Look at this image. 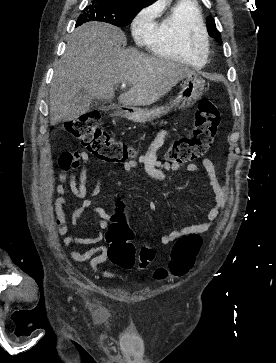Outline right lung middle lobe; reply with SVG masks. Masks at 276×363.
Returning a JSON list of instances; mask_svg holds the SVG:
<instances>
[{
	"label": "right lung middle lobe",
	"mask_w": 276,
	"mask_h": 363,
	"mask_svg": "<svg viewBox=\"0 0 276 363\" xmlns=\"http://www.w3.org/2000/svg\"><path fill=\"white\" fill-rule=\"evenodd\" d=\"M143 7L141 4L92 0L80 14L76 26L90 21L106 22L118 27L127 26Z\"/></svg>",
	"instance_id": "dd1d6c3e"
}]
</instances>
